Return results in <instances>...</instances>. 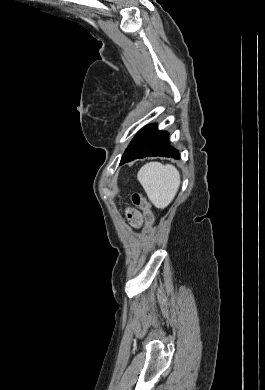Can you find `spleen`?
I'll return each mask as SVG.
<instances>
[{
  "instance_id": "3e777b00",
  "label": "spleen",
  "mask_w": 265,
  "mask_h": 390,
  "mask_svg": "<svg viewBox=\"0 0 265 390\" xmlns=\"http://www.w3.org/2000/svg\"><path fill=\"white\" fill-rule=\"evenodd\" d=\"M137 178L150 201L160 209L172 202L180 186V173L171 164L147 163L141 167Z\"/></svg>"
}]
</instances>
